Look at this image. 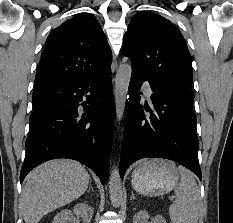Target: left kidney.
<instances>
[{
    "label": "left kidney",
    "instance_id": "left-kidney-1",
    "mask_svg": "<svg viewBox=\"0 0 233 223\" xmlns=\"http://www.w3.org/2000/svg\"><path fill=\"white\" fill-rule=\"evenodd\" d=\"M150 215L145 209H141L138 213L133 215V223H167L162 215H154L152 221H148Z\"/></svg>",
    "mask_w": 233,
    "mask_h": 223
}]
</instances>
